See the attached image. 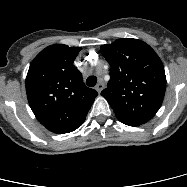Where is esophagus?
<instances>
[{
	"mask_svg": "<svg viewBox=\"0 0 187 187\" xmlns=\"http://www.w3.org/2000/svg\"><path fill=\"white\" fill-rule=\"evenodd\" d=\"M95 89L97 90L98 93H100L103 89H104V83L103 82H99Z\"/></svg>",
	"mask_w": 187,
	"mask_h": 187,
	"instance_id": "34e87169",
	"label": "esophagus"
}]
</instances>
